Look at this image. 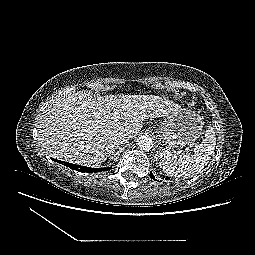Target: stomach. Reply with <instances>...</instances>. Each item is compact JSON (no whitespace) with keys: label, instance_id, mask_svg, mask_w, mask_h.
I'll list each match as a JSON object with an SVG mask.
<instances>
[{"label":"stomach","instance_id":"1","mask_svg":"<svg viewBox=\"0 0 255 255\" xmlns=\"http://www.w3.org/2000/svg\"><path fill=\"white\" fill-rule=\"evenodd\" d=\"M203 124L201 116L196 112L174 105L159 125L158 134L168 145V150L180 148L199 138Z\"/></svg>","mask_w":255,"mask_h":255}]
</instances>
